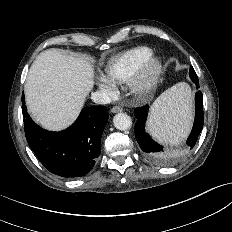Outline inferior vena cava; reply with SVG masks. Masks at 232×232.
I'll return each mask as SVG.
<instances>
[{"label":"inferior vena cava","mask_w":232,"mask_h":232,"mask_svg":"<svg viewBox=\"0 0 232 232\" xmlns=\"http://www.w3.org/2000/svg\"><path fill=\"white\" fill-rule=\"evenodd\" d=\"M91 99L96 104H108L111 102V98L108 93L104 91H96L91 94Z\"/></svg>","instance_id":"inferior-vena-cava-1"}]
</instances>
